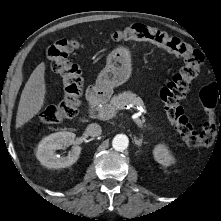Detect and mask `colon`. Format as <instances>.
Masks as SVG:
<instances>
[{"instance_id": "colon-1", "label": "colon", "mask_w": 221, "mask_h": 221, "mask_svg": "<svg viewBox=\"0 0 221 221\" xmlns=\"http://www.w3.org/2000/svg\"><path fill=\"white\" fill-rule=\"evenodd\" d=\"M112 39L115 42H150L183 60L179 71L160 92L167 117L187 145L196 147L213 143L216 136V88L206 85L201 90V100L207 115V123L202 130L194 127L181 106L191 89L192 81L199 74L203 62L202 52L163 31L141 24L116 30ZM79 46L80 41L77 39L62 38L47 49L51 68L61 77L64 91L59 104L42 112L41 118L47 124L59 123L75 117L78 113L83 85L82 72L80 67L70 60V54Z\"/></svg>"}]
</instances>
